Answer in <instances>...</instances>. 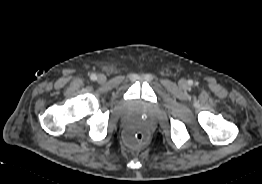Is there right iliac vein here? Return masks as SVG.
I'll list each match as a JSON object with an SVG mask.
<instances>
[{
    "mask_svg": "<svg viewBox=\"0 0 262 184\" xmlns=\"http://www.w3.org/2000/svg\"><path fill=\"white\" fill-rule=\"evenodd\" d=\"M99 83H104L106 81V76L104 74H99L97 77Z\"/></svg>",
    "mask_w": 262,
    "mask_h": 184,
    "instance_id": "1",
    "label": "right iliac vein"
}]
</instances>
